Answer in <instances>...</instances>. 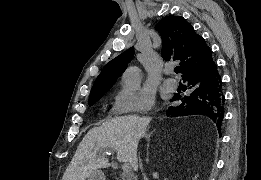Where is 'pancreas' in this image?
<instances>
[{
  "label": "pancreas",
  "instance_id": "obj_1",
  "mask_svg": "<svg viewBox=\"0 0 261 180\" xmlns=\"http://www.w3.org/2000/svg\"><path fill=\"white\" fill-rule=\"evenodd\" d=\"M119 180H123V176H122V177H119Z\"/></svg>",
  "mask_w": 261,
  "mask_h": 180
}]
</instances>
